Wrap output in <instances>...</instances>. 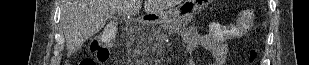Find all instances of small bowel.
I'll return each instance as SVG.
<instances>
[{
	"mask_svg": "<svg viewBox=\"0 0 309 65\" xmlns=\"http://www.w3.org/2000/svg\"><path fill=\"white\" fill-rule=\"evenodd\" d=\"M183 41L189 55V60L185 65H197L192 54L198 47H203L211 53L213 61L209 65H224L227 61L230 44L226 39H221L211 33H200L194 27H187L183 33Z\"/></svg>",
	"mask_w": 309,
	"mask_h": 65,
	"instance_id": "obj_1",
	"label": "small bowel"
}]
</instances>
